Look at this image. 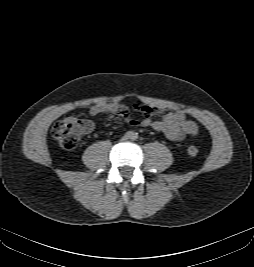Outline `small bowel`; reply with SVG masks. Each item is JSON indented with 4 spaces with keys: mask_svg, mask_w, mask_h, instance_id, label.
I'll use <instances>...</instances> for the list:
<instances>
[{
    "mask_svg": "<svg viewBox=\"0 0 254 267\" xmlns=\"http://www.w3.org/2000/svg\"><path fill=\"white\" fill-rule=\"evenodd\" d=\"M134 109L144 114L141 121L130 117L129 109L126 105L117 102H102L93 105L89 113L91 116L100 114H118L120 118L132 126L141 125L151 127L155 131L163 133L171 141H180L187 135H196L198 132L197 124L187 119L183 111H173L163 113L160 119H153V116L162 113L159 107L135 105Z\"/></svg>",
    "mask_w": 254,
    "mask_h": 267,
    "instance_id": "obj_1",
    "label": "small bowel"
}]
</instances>
